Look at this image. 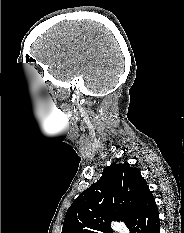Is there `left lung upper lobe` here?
Listing matches in <instances>:
<instances>
[{
    "mask_svg": "<svg viewBox=\"0 0 184 233\" xmlns=\"http://www.w3.org/2000/svg\"><path fill=\"white\" fill-rule=\"evenodd\" d=\"M149 191L138 168L127 162H113L73 201L62 233H113L111 222L127 224Z\"/></svg>",
    "mask_w": 184,
    "mask_h": 233,
    "instance_id": "5c2ea615",
    "label": "left lung upper lobe"
}]
</instances>
